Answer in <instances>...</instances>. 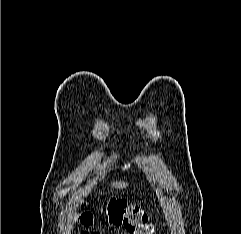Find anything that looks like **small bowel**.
<instances>
[{"label": "small bowel", "instance_id": "obj_1", "mask_svg": "<svg viewBox=\"0 0 241 234\" xmlns=\"http://www.w3.org/2000/svg\"><path fill=\"white\" fill-rule=\"evenodd\" d=\"M81 234H90V233L87 231H83V232H81ZM93 234H96V233H93Z\"/></svg>", "mask_w": 241, "mask_h": 234}]
</instances>
